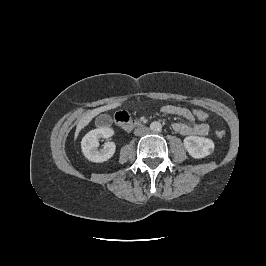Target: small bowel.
<instances>
[{"label": "small bowel", "mask_w": 266, "mask_h": 266, "mask_svg": "<svg viewBox=\"0 0 266 266\" xmlns=\"http://www.w3.org/2000/svg\"><path fill=\"white\" fill-rule=\"evenodd\" d=\"M161 112L166 115L180 116L187 122H175L172 128L181 135H206L209 126L205 123H197L192 112L185 107L166 105L161 108Z\"/></svg>", "instance_id": "obj_1"}]
</instances>
